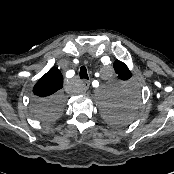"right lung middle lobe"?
Wrapping results in <instances>:
<instances>
[{"label":"right lung middle lobe","instance_id":"1","mask_svg":"<svg viewBox=\"0 0 174 174\" xmlns=\"http://www.w3.org/2000/svg\"><path fill=\"white\" fill-rule=\"evenodd\" d=\"M62 108V97L59 93L46 98L37 97L33 104V114L38 120L49 121L56 118Z\"/></svg>","mask_w":174,"mask_h":174}]
</instances>
